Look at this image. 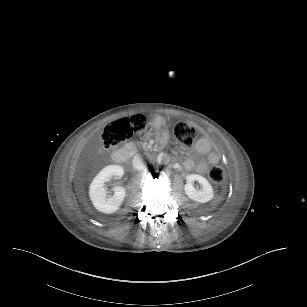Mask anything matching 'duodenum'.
Masks as SVG:
<instances>
[{"instance_id": "410a0bca", "label": "duodenum", "mask_w": 307, "mask_h": 307, "mask_svg": "<svg viewBox=\"0 0 307 307\" xmlns=\"http://www.w3.org/2000/svg\"><path fill=\"white\" fill-rule=\"evenodd\" d=\"M128 153L124 148H118L113 151L112 159L117 164H124L127 161Z\"/></svg>"}]
</instances>
